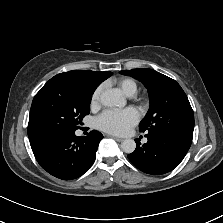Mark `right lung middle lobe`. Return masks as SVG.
Wrapping results in <instances>:
<instances>
[{
	"mask_svg": "<svg viewBox=\"0 0 223 223\" xmlns=\"http://www.w3.org/2000/svg\"><path fill=\"white\" fill-rule=\"evenodd\" d=\"M92 94L45 84L35 95L28 124L30 143L79 129L90 112Z\"/></svg>",
	"mask_w": 223,
	"mask_h": 223,
	"instance_id": "right-lung-middle-lobe-1",
	"label": "right lung middle lobe"
}]
</instances>
